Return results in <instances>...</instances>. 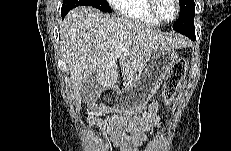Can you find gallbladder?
I'll return each mask as SVG.
<instances>
[{
	"mask_svg": "<svg viewBox=\"0 0 231 151\" xmlns=\"http://www.w3.org/2000/svg\"><path fill=\"white\" fill-rule=\"evenodd\" d=\"M101 92V87L98 84L97 77L92 74L88 80L83 84L80 95L84 103H91L97 100Z\"/></svg>",
	"mask_w": 231,
	"mask_h": 151,
	"instance_id": "obj_1",
	"label": "gallbladder"
}]
</instances>
